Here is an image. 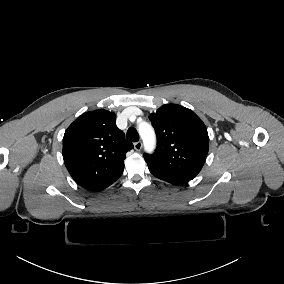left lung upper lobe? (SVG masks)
Segmentation results:
<instances>
[{"label": "left lung upper lobe", "mask_w": 284, "mask_h": 284, "mask_svg": "<svg viewBox=\"0 0 284 284\" xmlns=\"http://www.w3.org/2000/svg\"><path fill=\"white\" fill-rule=\"evenodd\" d=\"M157 134V148L144 154L150 171L192 180L202 169L209 137L205 124L190 109L166 104L149 116Z\"/></svg>", "instance_id": "5c2ea615"}]
</instances>
